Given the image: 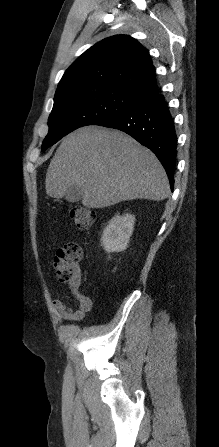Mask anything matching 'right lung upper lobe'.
Masks as SVG:
<instances>
[{"mask_svg":"<svg viewBox=\"0 0 219 447\" xmlns=\"http://www.w3.org/2000/svg\"><path fill=\"white\" fill-rule=\"evenodd\" d=\"M155 75L148 50L134 38L116 35L85 51L65 72L57 90L106 85L143 100L158 92Z\"/></svg>","mask_w":219,"mask_h":447,"instance_id":"right-lung-upper-lobe-1","label":"right lung upper lobe"}]
</instances>
